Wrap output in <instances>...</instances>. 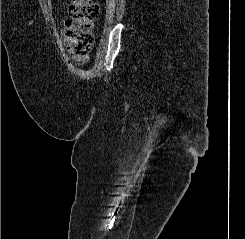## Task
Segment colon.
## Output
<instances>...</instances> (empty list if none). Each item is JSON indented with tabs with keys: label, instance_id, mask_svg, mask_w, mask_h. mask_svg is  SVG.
<instances>
[{
	"label": "colon",
	"instance_id": "obj_1",
	"mask_svg": "<svg viewBox=\"0 0 245 239\" xmlns=\"http://www.w3.org/2000/svg\"><path fill=\"white\" fill-rule=\"evenodd\" d=\"M68 14L64 30L67 45L73 55L88 56L94 45L93 26L99 5L96 0H69Z\"/></svg>",
	"mask_w": 245,
	"mask_h": 239
}]
</instances>
